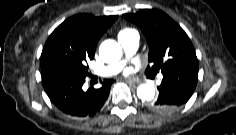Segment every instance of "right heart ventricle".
<instances>
[{
    "label": "right heart ventricle",
    "instance_id": "right-heart-ventricle-1",
    "mask_svg": "<svg viewBox=\"0 0 236 135\" xmlns=\"http://www.w3.org/2000/svg\"><path fill=\"white\" fill-rule=\"evenodd\" d=\"M134 33H136V31L134 29L129 28V27H125L119 31L118 37L123 36V35H131Z\"/></svg>",
    "mask_w": 236,
    "mask_h": 135
}]
</instances>
